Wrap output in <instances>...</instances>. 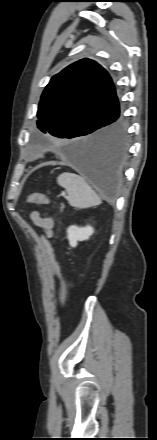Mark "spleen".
I'll use <instances>...</instances> for the list:
<instances>
[{"mask_svg":"<svg viewBox=\"0 0 157 440\" xmlns=\"http://www.w3.org/2000/svg\"><path fill=\"white\" fill-rule=\"evenodd\" d=\"M57 183L67 192V200L72 207L84 209L101 204L96 192L82 177L74 173H62L57 177Z\"/></svg>","mask_w":157,"mask_h":440,"instance_id":"3e777b00","label":"spleen"}]
</instances>
